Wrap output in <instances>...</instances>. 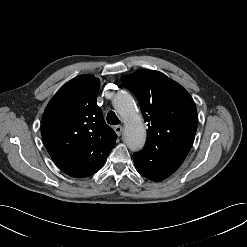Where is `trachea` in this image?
Returning a JSON list of instances; mask_svg holds the SVG:
<instances>
[{
    "mask_svg": "<svg viewBox=\"0 0 247 247\" xmlns=\"http://www.w3.org/2000/svg\"><path fill=\"white\" fill-rule=\"evenodd\" d=\"M107 123L110 125H118L120 120L113 111H109L107 114Z\"/></svg>",
    "mask_w": 247,
    "mask_h": 247,
    "instance_id": "1",
    "label": "trachea"
}]
</instances>
